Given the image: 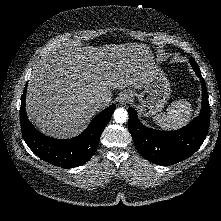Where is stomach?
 I'll use <instances>...</instances> for the list:
<instances>
[{"label":"stomach","mask_w":221,"mask_h":221,"mask_svg":"<svg viewBox=\"0 0 221 221\" xmlns=\"http://www.w3.org/2000/svg\"><path fill=\"white\" fill-rule=\"evenodd\" d=\"M133 95L139 101V109L144 116H153L167 104L171 95L170 82L166 74L157 68L151 73L143 91Z\"/></svg>","instance_id":"stomach-1"}]
</instances>
